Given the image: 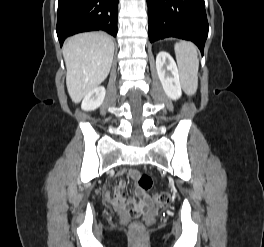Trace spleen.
Returning a JSON list of instances; mask_svg holds the SVG:
<instances>
[{
    "mask_svg": "<svg viewBox=\"0 0 264 247\" xmlns=\"http://www.w3.org/2000/svg\"><path fill=\"white\" fill-rule=\"evenodd\" d=\"M174 49L182 87L188 95H194L198 87L197 48L190 42L181 41L175 44Z\"/></svg>",
    "mask_w": 264,
    "mask_h": 247,
    "instance_id": "spleen-1",
    "label": "spleen"
}]
</instances>
